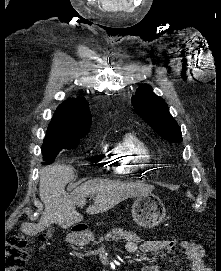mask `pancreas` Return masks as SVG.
<instances>
[{"label": "pancreas", "instance_id": "cf45deb5", "mask_svg": "<svg viewBox=\"0 0 221 271\" xmlns=\"http://www.w3.org/2000/svg\"><path fill=\"white\" fill-rule=\"evenodd\" d=\"M144 240L143 237H128L124 229H111L103 237H97V242H143ZM90 243L94 245L96 242L92 240Z\"/></svg>", "mask_w": 221, "mask_h": 271}]
</instances>
